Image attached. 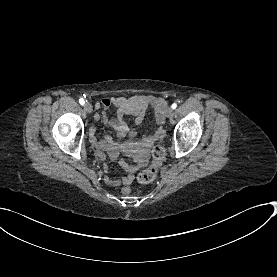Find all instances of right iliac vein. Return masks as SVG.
I'll return each instance as SVG.
<instances>
[{"mask_svg":"<svg viewBox=\"0 0 277 277\" xmlns=\"http://www.w3.org/2000/svg\"><path fill=\"white\" fill-rule=\"evenodd\" d=\"M84 110H85V112H87V113H91L92 110H93V107H92V105H91L90 103H86V104L84 105Z\"/></svg>","mask_w":277,"mask_h":277,"instance_id":"obj_1","label":"right iliac vein"}]
</instances>
